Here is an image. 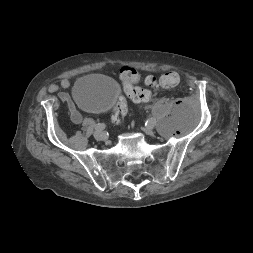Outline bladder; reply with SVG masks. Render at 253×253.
Listing matches in <instances>:
<instances>
[{"label":"bladder","mask_w":253,"mask_h":253,"mask_svg":"<svg viewBox=\"0 0 253 253\" xmlns=\"http://www.w3.org/2000/svg\"><path fill=\"white\" fill-rule=\"evenodd\" d=\"M75 102L82 108L103 112L115 105L119 96L118 84L101 74H88L79 78L72 91Z\"/></svg>","instance_id":"1"}]
</instances>
